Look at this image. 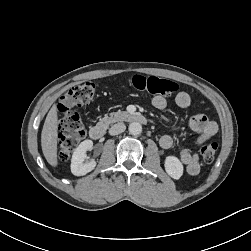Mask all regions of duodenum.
Here are the masks:
<instances>
[{
  "label": "duodenum",
  "instance_id": "1",
  "mask_svg": "<svg viewBox=\"0 0 251 251\" xmlns=\"http://www.w3.org/2000/svg\"><path fill=\"white\" fill-rule=\"evenodd\" d=\"M126 120L133 123L146 124L145 116L138 113H130L125 116ZM105 134V127L103 125H94L89 130V136L93 140L101 139Z\"/></svg>",
  "mask_w": 251,
  "mask_h": 251
}]
</instances>
